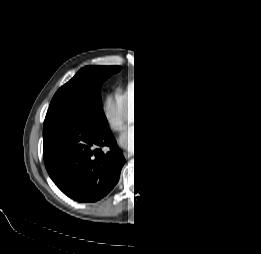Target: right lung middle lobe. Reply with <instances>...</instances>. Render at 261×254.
<instances>
[{
  "instance_id": "right-lung-middle-lobe-1",
  "label": "right lung middle lobe",
  "mask_w": 261,
  "mask_h": 254,
  "mask_svg": "<svg viewBox=\"0 0 261 254\" xmlns=\"http://www.w3.org/2000/svg\"><path fill=\"white\" fill-rule=\"evenodd\" d=\"M120 66H86L65 85L51 100L48 112H73L98 128H108L102 109L101 85Z\"/></svg>"
}]
</instances>
